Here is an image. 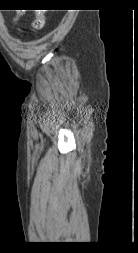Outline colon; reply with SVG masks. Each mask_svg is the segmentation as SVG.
Here are the masks:
<instances>
[{
	"label": "colon",
	"instance_id": "colon-1",
	"mask_svg": "<svg viewBox=\"0 0 138 253\" xmlns=\"http://www.w3.org/2000/svg\"><path fill=\"white\" fill-rule=\"evenodd\" d=\"M45 25V15L41 11H37L35 20L33 22V27L36 30H41Z\"/></svg>",
	"mask_w": 138,
	"mask_h": 253
}]
</instances>
